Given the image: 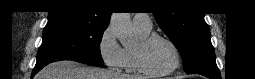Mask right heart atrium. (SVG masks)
Masks as SVG:
<instances>
[{"instance_id": "1", "label": "right heart atrium", "mask_w": 255, "mask_h": 79, "mask_svg": "<svg viewBox=\"0 0 255 79\" xmlns=\"http://www.w3.org/2000/svg\"><path fill=\"white\" fill-rule=\"evenodd\" d=\"M98 50L106 66L117 71L124 67V48L119 45L110 27L103 31Z\"/></svg>"}]
</instances>
